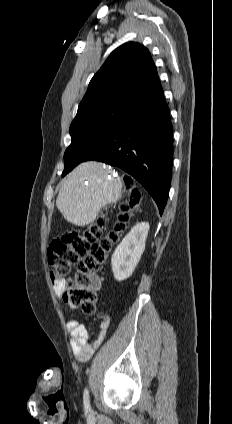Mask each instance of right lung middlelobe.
Segmentation results:
<instances>
[{
    "mask_svg": "<svg viewBox=\"0 0 232 424\" xmlns=\"http://www.w3.org/2000/svg\"><path fill=\"white\" fill-rule=\"evenodd\" d=\"M132 105L109 103L77 113L70 126L71 144L64 154L65 176L83 162L107 136L125 124Z\"/></svg>",
    "mask_w": 232,
    "mask_h": 424,
    "instance_id": "right-lung-middle-lobe-1",
    "label": "right lung middle lobe"
}]
</instances>
